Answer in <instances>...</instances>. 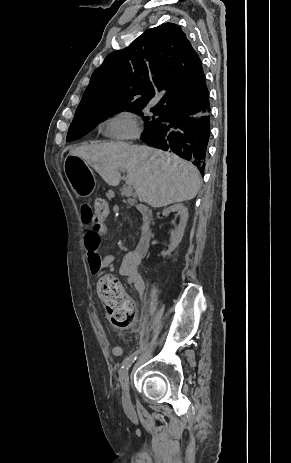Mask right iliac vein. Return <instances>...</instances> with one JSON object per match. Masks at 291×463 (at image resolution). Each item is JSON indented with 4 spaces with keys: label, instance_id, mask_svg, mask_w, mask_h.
I'll use <instances>...</instances> for the list:
<instances>
[{
    "label": "right iliac vein",
    "instance_id": "right-iliac-vein-1",
    "mask_svg": "<svg viewBox=\"0 0 291 463\" xmlns=\"http://www.w3.org/2000/svg\"><path fill=\"white\" fill-rule=\"evenodd\" d=\"M122 403L125 410H129L131 408L128 383L122 386Z\"/></svg>",
    "mask_w": 291,
    "mask_h": 463
}]
</instances>
